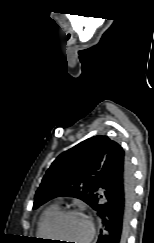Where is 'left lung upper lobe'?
Masks as SVG:
<instances>
[{
    "label": "left lung upper lobe",
    "mask_w": 154,
    "mask_h": 243,
    "mask_svg": "<svg viewBox=\"0 0 154 243\" xmlns=\"http://www.w3.org/2000/svg\"><path fill=\"white\" fill-rule=\"evenodd\" d=\"M117 147L107 136H94L60 154L35 194L33 209L58 196L81 199L93 208L99 172L109 151Z\"/></svg>",
    "instance_id": "1"
}]
</instances>
